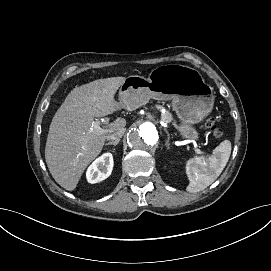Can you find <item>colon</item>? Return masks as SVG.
<instances>
[{"mask_svg":"<svg viewBox=\"0 0 271 271\" xmlns=\"http://www.w3.org/2000/svg\"><path fill=\"white\" fill-rule=\"evenodd\" d=\"M205 126L213 133L215 137L219 138L222 136V131L217 127L212 119H207L205 121Z\"/></svg>","mask_w":271,"mask_h":271,"instance_id":"obj_1","label":"colon"}]
</instances>
